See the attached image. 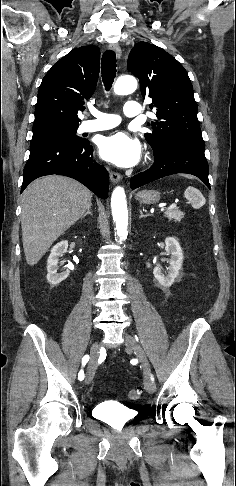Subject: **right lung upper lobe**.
Instances as JSON below:
<instances>
[{
  "label": "right lung upper lobe",
  "mask_w": 236,
  "mask_h": 486,
  "mask_svg": "<svg viewBox=\"0 0 236 486\" xmlns=\"http://www.w3.org/2000/svg\"><path fill=\"white\" fill-rule=\"evenodd\" d=\"M100 51L96 46L72 50L44 76L35 107V125L79 124L78 110L95 91Z\"/></svg>",
  "instance_id": "cb5924a9"
}]
</instances>
